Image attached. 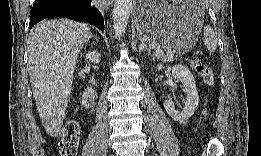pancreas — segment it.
<instances>
[{
    "mask_svg": "<svg viewBox=\"0 0 261 156\" xmlns=\"http://www.w3.org/2000/svg\"><path fill=\"white\" fill-rule=\"evenodd\" d=\"M160 58L163 61H173L177 58V54L173 51H166V54L162 55Z\"/></svg>",
    "mask_w": 261,
    "mask_h": 156,
    "instance_id": "pancreas-1",
    "label": "pancreas"
}]
</instances>
